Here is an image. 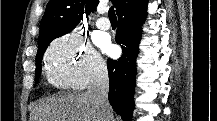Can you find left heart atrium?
I'll list each match as a JSON object with an SVG mask.
<instances>
[{
	"label": "left heart atrium",
	"mask_w": 217,
	"mask_h": 121,
	"mask_svg": "<svg viewBox=\"0 0 217 121\" xmlns=\"http://www.w3.org/2000/svg\"><path fill=\"white\" fill-rule=\"evenodd\" d=\"M105 48H106L107 50H110V49H111V46L106 45Z\"/></svg>",
	"instance_id": "1"
}]
</instances>
